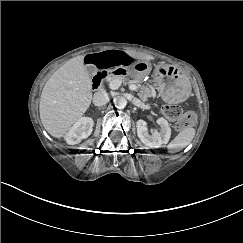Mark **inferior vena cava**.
Wrapping results in <instances>:
<instances>
[{"label":"inferior vena cava","instance_id":"obj_1","mask_svg":"<svg viewBox=\"0 0 243 243\" xmlns=\"http://www.w3.org/2000/svg\"><path fill=\"white\" fill-rule=\"evenodd\" d=\"M109 98L105 92H96L93 97L95 106H103L108 102Z\"/></svg>","mask_w":243,"mask_h":243}]
</instances>
